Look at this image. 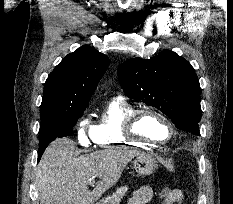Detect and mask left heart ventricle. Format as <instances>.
<instances>
[{
	"label": "left heart ventricle",
	"instance_id": "obj_1",
	"mask_svg": "<svg viewBox=\"0 0 233 204\" xmlns=\"http://www.w3.org/2000/svg\"><path fill=\"white\" fill-rule=\"evenodd\" d=\"M136 131L153 140H164L169 134L166 124L159 117L148 113L138 118Z\"/></svg>",
	"mask_w": 233,
	"mask_h": 204
}]
</instances>
